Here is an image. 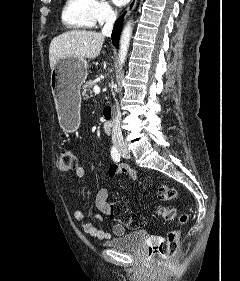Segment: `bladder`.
Returning <instances> with one entry per match:
<instances>
[{"instance_id": "obj_1", "label": "bladder", "mask_w": 240, "mask_h": 281, "mask_svg": "<svg viewBox=\"0 0 240 281\" xmlns=\"http://www.w3.org/2000/svg\"><path fill=\"white\" fill-rule=\"evenodd\" d=\"M146 233L143 231H134L114 237L105 242V245L127 252H139L144 244Z\"/></svg>"}]
</instances>
